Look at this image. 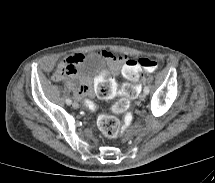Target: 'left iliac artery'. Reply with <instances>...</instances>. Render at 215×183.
<instances>
[{
    "label": "left iliac artery",
    "instance_id": "left-iliac-artery-1",
    "mask_svg": "<svg viewBox=\"0 0 215 183\" xmlns=\"http://www.w3.org/2000/svg\"><path fill=\"white\" fill-rule=\"evenodd\" d=\"M144 93H145V94H148V93H149V87H148V86H145V87H144Z\"/></svg>",
    "mask_w": 215,
    "mask_h": 183
}]
</instances>
